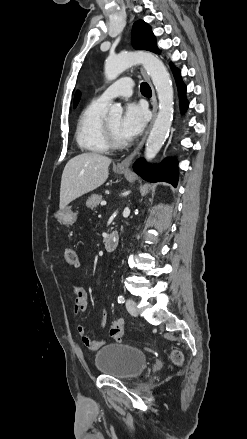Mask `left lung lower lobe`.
<instances>
[{"label":"left lung lower lobe","instance_id":"1","mask_svg":"<svg viewBox=\"0 0 247 439\" xmlns=\"http://www.w3.org/2000/svg\"><path fill=\"white\" fill-rule=\"evenodd\" d=\"M173 72L179 89L181 108L185 111L188 107V102L185 99L186 87L180 79V71L173 69ZM133 167L134 171L145 180L152 182L165 181L171 183L174 187L177 186L178 170L177 164L173 160H166L158 168H154L148 165L144 159L140 158L134 163Z\"/></svg>","mask_w":247,"mask_h":439}]
</instances>
